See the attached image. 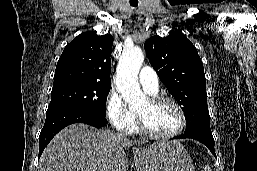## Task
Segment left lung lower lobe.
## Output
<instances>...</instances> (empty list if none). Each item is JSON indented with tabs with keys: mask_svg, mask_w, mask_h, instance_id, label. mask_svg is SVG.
<instances>
[{
	"mask_svg": "<svg viewBox=\"0 0 257 171\" xmlns=\"http://www.w3.org/2000/svg\"><path fill=\"white\" fill-rule=\"evenodd\" d=\"M184 138H191L195 139L208 147L211 153L216 157L215 150H214V138L212 132H202V131H191L185 132L180 136L174 137V139H184Z\"/></svg>",
	"mask_w": 257,
	"mask_h": 171,
	"instance_id": "1",
	"label": "left lung lower lobe"
}]
</instances>
